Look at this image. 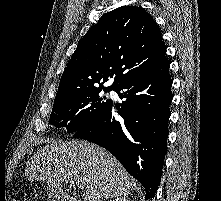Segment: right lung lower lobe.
Masks as SVG:
<instances>
[{"label":"right lung lower lobe","instance_id":"98d812e1","mask_svg":"<svg viewBox=\"0 0 221 201\" xmlns=\"http://www.w3.org/2000/svg\"><path fill=\"white\" fill-rule=\"evenodd\" d=\"M171 85L165 60L154 70L120 84L114 90L126 99L121 108L112 102L102 115L73 135L111 152L145 188L146 200L154 197L167 152ZM115 109L123 120H115Z\"/></svg>","mask_w":221,"mask_h":201}]
</instances>
